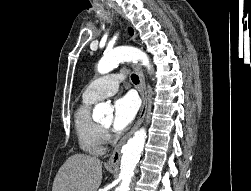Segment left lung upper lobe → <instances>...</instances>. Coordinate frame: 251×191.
Listing matches in <instances>:
<instances>
[{
  "mask_svg": "<svg viewBox=\"0 0 251 191\" xmlns=\"http://www.w3.org/2000/svg\"><path fill=\"white\" fill-rule=\"evenodd\" d=\"M129 33L133 35V30L131 28L129 29Z\"/></svg>",
  "mask_w": 251,
  "mask_h": 191,
  "instance_id": "5c2ea615",
  "label": "left lung upper lobe"
}]
</instances>
